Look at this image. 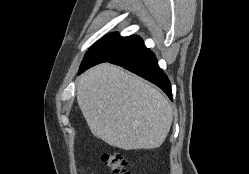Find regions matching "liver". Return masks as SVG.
I'll list each match as a JSON object with an SVG mask.
<instances>
[{
  "instance_id": "obj_1",
  "label": "liver",
  "mask_w": 249,
  "mask_h": 174,
  "mask_svg": "<svg viewBox=\"0 0 249 174\" xmlns=\"http://www.w3.org/2000/svg\"><path fill=\"white\" fill-rule=\"evenodd\" d=\"M77 102L92 133L124 150L158 148L173 120L170 103L157 89L109 63L79 77Z\"/></svg>"
}]
</instances>
